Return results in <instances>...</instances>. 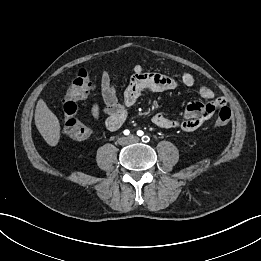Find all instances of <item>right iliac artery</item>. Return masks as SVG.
<instances>
[{
    "instance_id": "1",
    "label": "right iliac artery",
    "mask_w": 261,
    "mask_h": 261,
    "mask_svg": "<svg viewBox=\"0 0 261 261\" xmlns=\"http://www.w3.org/2000/svg\"><path fill=\"white\" fill-rule=\"evenodd\" d=\"M124 135H129L130 131L129 130H124Z\"/></svg>"
}]
</instances>
